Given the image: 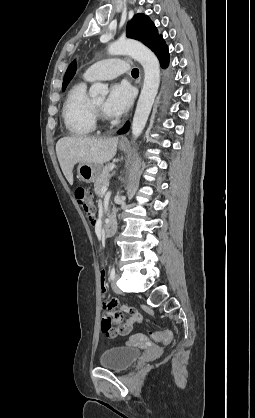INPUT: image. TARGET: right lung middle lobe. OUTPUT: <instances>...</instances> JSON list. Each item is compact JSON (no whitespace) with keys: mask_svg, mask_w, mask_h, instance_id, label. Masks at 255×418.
<instances>
[{"mask_svg":"<svg viewBox=\"0 0 255 418\" xmlns=\"http://www.w3.org/2000/svg\"><path fill=\"white\" fill-rule=\"evenodd\" d=\"M65 88H66V87L64 86V87L62 88V90L64 91V90H65Z\"/></svg>","mask_w":255,"mask_h":418,"instance_id":"obj_1","label":"right lung middle lobe"}]
</instances>
